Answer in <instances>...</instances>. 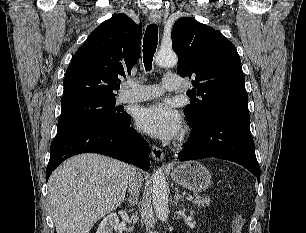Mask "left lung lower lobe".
Masks as SVG:
<instances>
[{"mask_svg":"<svg viewBox=\"0 0 306 233\" xmlns=\"http://www.w3.org/2000/svg\"><path fill=\"white\" fill-rule=\"evenodd\" d=\"M250 118L222 115L191 127V137L178 159L216 157L238 163L253 173L258 182L260 167L250 133Z\"/></svg>","mask_w":306,"mask_h":233,"instance_id":"0a47b994","label":"left lung lower lobe"}]
</instances>
